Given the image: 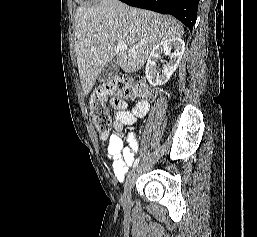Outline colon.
I'll return each instance as SVG.
<instances>
[{
	"label": "colon",
	"instance_id": "5ec220e1",
	"mask_svg": "<svg viewBox=\"0 0 257 237\" xmlns=\"http://www.w3.org/2000/svg\"><path fill=\"white\" fill-rule=\"evenodd\" d=\"M147 95L149 93L141 82L125 77H116L98 85L89 98V109L100 137L106 139L110 134L113 119L110 107Z\"/></svg>",
	"mask_w": 257,
	"mask_h": 237
}]
</instances>
